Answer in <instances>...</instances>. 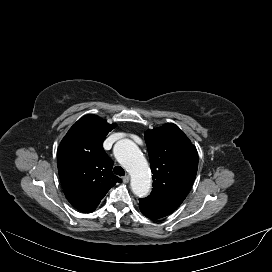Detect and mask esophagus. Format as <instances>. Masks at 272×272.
Returning a JSON list of instances; mask_svg holds the SVG:
<instances>
[{
	"label": "esophagus",
	"mask_w": 272,
	"mask_h": 272,
	"mask_svg": "<svg viewBox=\"0 0 272 272\" xmlns=\"http://www.w3.org/2000/svg\"><path fill=\"white\" fill-rule=\"evenodd\" d=\"M130 181V176L129 175H125L124 177H123V182L124 183H128Z\"/></svg>",
	"instance_id": "obj_1"
}]
</instances>
